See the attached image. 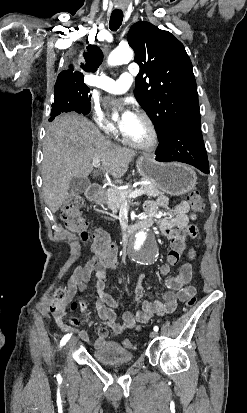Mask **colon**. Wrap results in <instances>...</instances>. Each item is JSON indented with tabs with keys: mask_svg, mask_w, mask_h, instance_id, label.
<instances>
[{
	"mask_svg": "<svg viewBox=\"0 0 247 413\" xmlns=\"http://www.w3.org/2000/svg\"><path fill=\"white\" fill-rule=\"evenodd\" d=\"M187 199L192 204L194 210L202 211L204 207L201 195L196 192H190ZM82 200L76 195H68L62 205L60 217L64 223L67 230L74 231L80 234L81 239L84 241L89 239V248L93 252H98V254L105 261H111L115 257L114 244L111 243L110 238L103 232L95 231L93 233L87 232L88 221L82 216ZM181 232L184 230L182 227L179 229ZM185 236L181 235L176 237L174 245L170 247L166 257L169 262L174 265H180L183 263V258L181 257V252L186 250V247L182 244L181 240H184ZM196 304V298H187L185 301V310H189ZM60 303L55 300L51 306V310L56 313ZM75 308V304L72 305ZM123 346L125 348H132L134 345L130 340H124Z\"/></svg>",
	"mask_w": 247,
	"mask_h": 413,
	"instance_id": "5ec220e1",
	"label": "colon"
}]
</instances>
